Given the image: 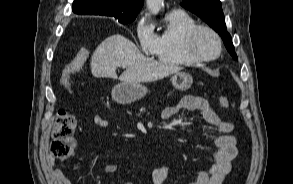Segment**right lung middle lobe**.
I'll return each instance as SVG.
<instances>
[{"label":"right lung middle lobe","instance_id":"right-lung-middle-lobe-1","mask_svg":"<svg viewBox=\"0 0 293 184\" xmlns=\"http://www.w3.org/2000/svg\"><path fill=\"white\" fill-rule=\"evenodd\" d=\"M134 19H124V20H119L120 23L122 24H128L130 22H132Z\"/></svg>","mask_w":293,"mask_h":184}]
</instances>
